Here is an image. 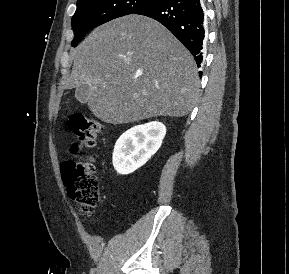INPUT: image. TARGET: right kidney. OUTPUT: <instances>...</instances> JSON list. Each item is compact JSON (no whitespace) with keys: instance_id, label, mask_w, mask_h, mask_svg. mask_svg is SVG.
I'll list each match as a JSON object with an SVG mask.
<instances>
[{"instance_id":"obj_1","label":"right kidney","mask_w":289,"mask_h":274,"mask_svg":"<svg viewBox=\"0 0 289 274\" xmlns=\"http://www.w3.org/2000/svg\"><path fill=\"white\" fill-rule=\"evenodd\" d=\"M165 134V125L158 121L137 125L124 132L114 147V169L127 175L143 166L158 151Z\"/></svg>"}]
</instances>
